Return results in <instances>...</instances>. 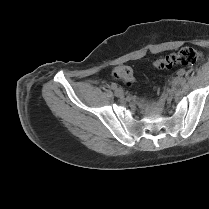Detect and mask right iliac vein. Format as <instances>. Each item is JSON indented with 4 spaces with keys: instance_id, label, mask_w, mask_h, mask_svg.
Returning <instances> with one entry per match:
<instances>
[{
    "instance_id": "1",
    "label": "right iliac vein",
    "mask_w": 209,
    "mask_h": 209,
    "mask_svg": "<svg viewBox=\"0 0 209 209\" xmlns=\"http://www.w3.org/2000/svg\"><path fill=\"white\" fill-rule=\"evenodd\" d=\"M115 95L117 97H122L124 95V92L121 88H118V89L115 90Z\"/></svg>"
}]
</instances>
